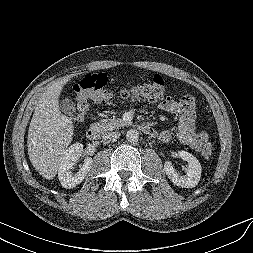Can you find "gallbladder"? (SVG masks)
<instances>
[{"instance_id":"gallbladder-1","label":"gallbladder","mask_w":253,"mask_h":253,"mask_svg":"<svg viewBox=\"0 0 253 253\" xmlns=\"http://www.w3.org/2000/svg\"><path fill=\"white\" fill-rule=\"evenodd\" d=\"M61 111L67 115H72L76 110L75 102L67 97L63 98L60 102Z\"/></svg>"}]
</instances>
